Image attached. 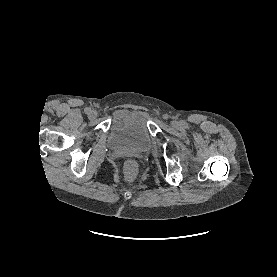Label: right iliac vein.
<instances>
[{"instance_id": "63e3f726", "label": "right iliac vein", "mask_w": 277, "mask_h": 277, "mask_svg": "<svg viewBox=\"0 0 277 277\" xmlns=\"http://www.w3.org/2000/svg\"><path fill=\"white\" fill-rule=\"evenodd\" d=\"M96 117H97V111L92 110V111L89 113V118H90V119H95Z\"/></svg>"}]
</instances>
